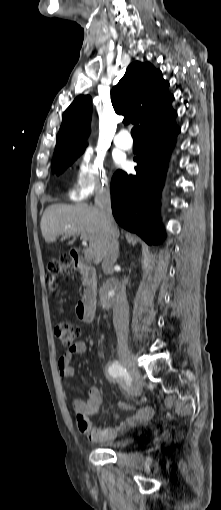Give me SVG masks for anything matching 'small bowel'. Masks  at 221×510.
Here are the masks:
<instances>
[{"mask_svg":"<svg viewBox=\"0 0 221 510\" xmlns=\"http://www.w3.org/2000/svg\"><path fill=\"white\" fill-rule=\"evenodd\" d=\"M87 345L80 340L74 343L58 360L57 366L59 374L65 380H71L74 377V368L72 365L76 355L84 354ZM129 394L133 393V389L127 387ZM103 396L99 388L93 386L87 391V399H75L72 402L73 409L76 413L78 426L81 431L92 441L108 442L115 439L119 434L136 427L148 421L156 413V405L154 406H130L125 402L118 401L113 412L112 425H95L91 422L90 417L97 415L102 408ZM121 410L130 411L131 414L124 420L120 419L119 412Z\"/></svg>","mask_w":221,"mask_h":510,"instance_id":"small-bowel-1","label":"small bowel"}]
</instances>
